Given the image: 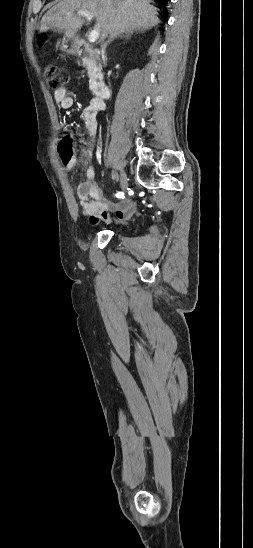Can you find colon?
I'll return each instance as SVG.
<instances>
[{
  "label": "colon",
  "instance_id": "obj_1",
  "mask_svg": "<svg viewBox=\"0 0 253 548\" xmlns=\"http://www.w3.org/2000/svg\"><path fill=\"white\" fill-rule=\"evenodd\" d=\"M44 76L50 89L57 91L62 89L68 82V73L60 65L48 64L44 69ZM59 154L65 161L71 159L73 154V142L70 137H64L59 143Z\"/></svg>",
  "mask_w": 253,
  "mask_h": 548
}]
</instances>
